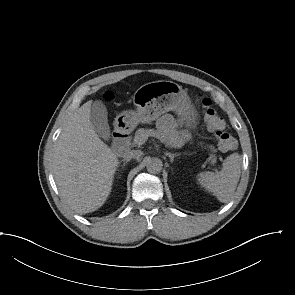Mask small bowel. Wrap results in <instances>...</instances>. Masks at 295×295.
<instances>
[{
	"label": "small bowel",
	"mask_w": 295,
	"mask_h": 295,
	"mask_svg": "<svg viewBox=\"0 0 295 295\" xmlns=\"http://www.w3.org/2000/svg\"><path fill=\"white\" fill-rule=\"evenodd\" d=\"M158 127L168 133L177 132V123L171 116H163L158 120Z\"/></svg>",
	"instance_id": "1"
}]
</instances>
